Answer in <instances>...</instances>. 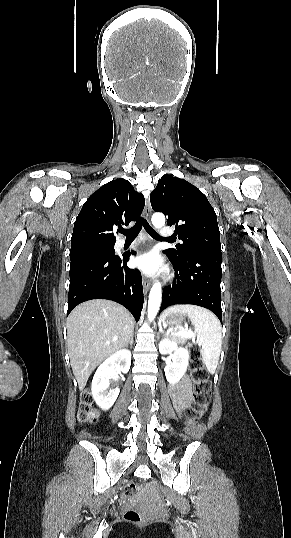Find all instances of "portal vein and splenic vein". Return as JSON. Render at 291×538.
<instances>
[{"mask_svg":"<svg viewBox=\"0 0 291 538\" xmlns=\"http://www.w3.org/2000/svg\"><path fill=\"white\" fill-rule=\"evenodd\" d=\"M171 334H179L181 336H184V337H187V338H192V339L195 338L192 331H183V332H179V333L171 332ZM200 344H201V342H200Z\"/></svg>","mask_w":291,"mask_h":538,"instance_id":"obj_1","label":"portal vein and splenic vein"}]
</instances>
